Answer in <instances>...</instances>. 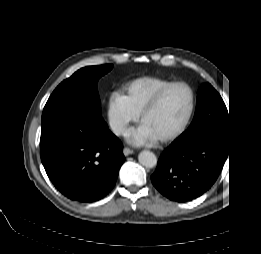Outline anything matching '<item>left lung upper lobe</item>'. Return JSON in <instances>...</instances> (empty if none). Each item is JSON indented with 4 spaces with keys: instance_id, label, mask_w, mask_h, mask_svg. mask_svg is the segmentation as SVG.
<instances>
[{
    "instance_id": "obj_1",
    "label": "left lung upper lobe",
    "mask_w": 261,
    "mask_h": 254,
    "mask_svg": "<svg viewBox=\"0 0 261 254\" xmlns=\"http://www.w3.org/2000/svg\"><path fill=\"white\" fill-rule=\"evenodd\" d=\"M214 128L229 130L230 121L221 96L207 83L198 90L195 115L183 135L196 136L203 131Z\"/></svg>"
}]
</instances>
